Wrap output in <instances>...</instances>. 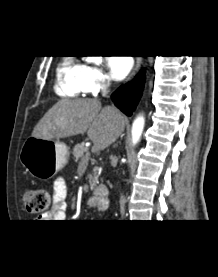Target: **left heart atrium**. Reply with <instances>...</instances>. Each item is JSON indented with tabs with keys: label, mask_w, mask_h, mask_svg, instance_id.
<instances>
[{
	"label": "left heart atrium",
	"mask_w": 218,
	"mask_h": 277,
	"mask_svg": "<svg viewBox=\"0 0 218 277\" xmlns=\"http://www.w3.org/2000/svg\"><path fill=\"white\" fill-rule=\"evenodd\" d=\"M107 65L110 69L112 78L115 80H121L131 70L132 61L126 57L114 56L108 58Z\"/></svg>",
	"instance_id": "1"
}]
</instances>
